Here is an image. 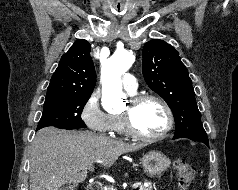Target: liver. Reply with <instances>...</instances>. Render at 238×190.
<instances>
[{
    "label": "liver",
    "instance_id": "1",
    "mask_svg": "<svg viewBox=\"0 0 238 190\" xmlns=\"http://www.w3.org/2000/svg\"><path fill=\"white\" fill-rule=\"evenodd\" d=\"M141 148L91 132L45 127L31 145L30 190H61L66 184L81 183L94 162L110 167L120 155Z\"/></svg>",
    "mask_w": 238,
    "mask_h": 190
}]
</instances>
